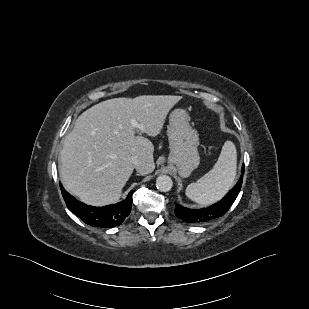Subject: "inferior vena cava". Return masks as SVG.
<instances>
[{
  "label": "inferior vena cava",
  "mask_w": 309,
  "mask_h": 309,
  "mask_svg": "<svg viewBox=\"0 0 309 309\" xmlns=\"http://www.w3.org/2000/svg\"><path fill=\"white\" fill-rule=\"evenodd\" d=\"M131 163L133 164V166L136 168L137 171L140 169L141 161L137 156L131 158Z\"/></svg>",
  "instance_id": "obj_1"
}]
</instances>
